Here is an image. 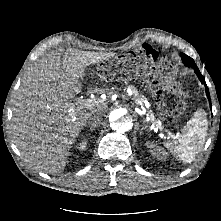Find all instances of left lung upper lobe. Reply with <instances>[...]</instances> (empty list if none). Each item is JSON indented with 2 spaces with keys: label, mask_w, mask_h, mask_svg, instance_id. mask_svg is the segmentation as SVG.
Wrapping results in <instances>:
<instances>
[{
  "label": "left lung upper lobe",
  "mask_w": 221,
  "mask_h": 221,
  "mask_svg": "<svg viewBox=\"0 0 221 221\" xmlns=\"http://www.w3.org/2000/svg\"><path fill=\"white\" fill-rule=\"evenodd\" d=\"M182 57V61L183 63L188 66V67H194L196 66L194 60L192 58H190L189 56L185 55L184 53H182L181 55Z\"/></svg>",
  "instance_id": "obj_1"
}]
</instances>
